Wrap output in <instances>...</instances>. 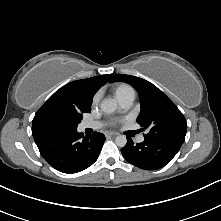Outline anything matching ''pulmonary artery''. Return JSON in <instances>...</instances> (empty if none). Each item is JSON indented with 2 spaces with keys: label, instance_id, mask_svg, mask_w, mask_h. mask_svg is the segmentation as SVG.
Here are the masks:
<instances>
[{
  "label": "pulmonary artery",
  "instance_id": "e3ab8cb5",
  "mask_svg": "<svg viewBox=\"0 0 221 221\" xmlns=\"http://www.w3.org/2000/svg\"><path fill=\"white\" fill-rule=\"evenodd\" d=\"M119 101L120 106L122 107V109L127 110L131 107V105L133 104L134 101V95H129L126 96ZM103 126V124L101 122L98 121H87L81 124V129H87V128H91V129H98L101 128ZM138 142H143L144 141V136L140 135L137 138Z\"/></svg>",
  "mask_w": 221,
  "mask_h": 221
}]
</instances>
